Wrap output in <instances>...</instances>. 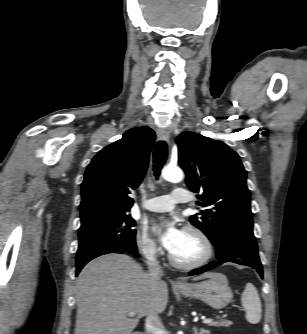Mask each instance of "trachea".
<instances>
[{
  "mask_svg": "<svg viewBox=\"0 0 307 334\" xmlns=\"http://www.w3.org/2000/svg\"><path fill=\"white\" fill-rule=\"evenodd\" d=\"M167 159V144L164 141L156 143L153 151V171L156 178H159L161 169Z\"/></svg>",
  "mask_w": 307,
  "mask_h": 334,
  "instance_id": "trachea-1",
  "label": "trachea"
}]
</instances>
